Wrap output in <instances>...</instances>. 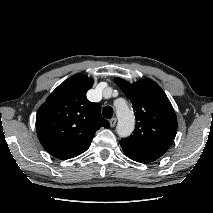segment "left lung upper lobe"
Wrapping results in <instances>:
<instances>
[{
    "mask_svg": "<svg viewBox=\"0 0 213 213\" xmlns=\"http://www.w3.org/2000/svg\"><path fill=\"white\" fill-rule=\"evenodd\" d=\"M116 84L130 99L136 118L133 135L122 138L121 147L158 159L170 148L177 132V118L169 99L154 81L140 80L131 84L117 78Z\"/></svg>",
    "mask_w": 213,
    "mask_h": 213,
    "instance_id": "5c2ea615",
    "label": "left lung upper lobe"
}]
</instances>
